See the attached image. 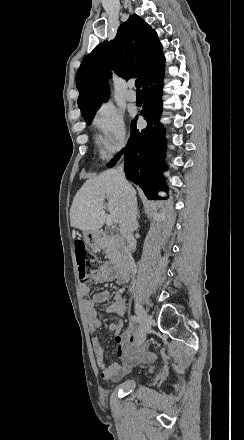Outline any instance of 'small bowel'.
Listing matches in <instances>:
<instances>
[{
    "mask_svg": "<svg viewBox=\"0 0 244 440\" xmlns=\"http://www.w3.org/2000/svg\"><path fill=\"white\" fill-rule=\"evenodd\" d=\"M96 283L114 282L118 285L128 283V273L118 272L114 266L103 264L99 270L91 276ZM90 293L87 282L80 284V294L86 297ZM110 296L109 290H101L92 295L90 299H83L82 309L90 332H95L101 326V319L98 316L96 305L104 303ZM125 301L122 294L116 291L113 294L112 303L107 311L116 316H123L125 313ZM110 331L114 335V353L119 359L118 362L106 363V353L97 336H92V346L96 364L100 370V376L104 380L117 381L128 375L137 365L142 362L151 361L154 357L147 351L145 346L135 343L134 332L131 327L123 330L121 320H115L110 324Z\"/></svg>",
    "mask_w": 244,
    "mask_h": 440,
    "instance_id": "obj_1",
    "label": "small bowel"
}]
</instances>
